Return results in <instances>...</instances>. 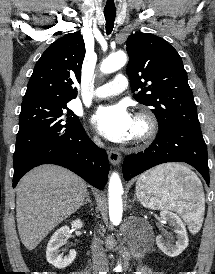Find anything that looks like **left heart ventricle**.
Here are the masks:
<instances>
[{
	"mask_svg": "<svg viewBox=\"0 0 215 274\" xmlns=\"http://www.w3.org/2000/svg\"><path fill=\"white\" fill-rule=\"evenodd\" d=\"M140 131H141V126L135 121L134 129H133V135L132 136L138 134Z\"/></svg>",
	"mask_w": 215,
	"mask_h": 274,
	"instance_id": "1",
	"label": "left heart ventricle"
}]
</instances>
